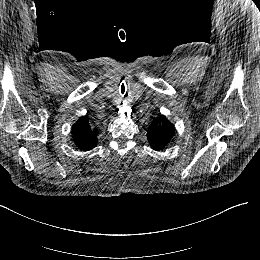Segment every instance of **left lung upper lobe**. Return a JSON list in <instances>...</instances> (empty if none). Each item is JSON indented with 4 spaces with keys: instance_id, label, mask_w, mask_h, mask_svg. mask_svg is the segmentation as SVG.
Instances as JSON below:
<instances>
[{
    "instance_id": "obj_1",
    "label": "left lung upper lobe",
    "mask_w": 260,
    "mask_h": 260,
    "mask_svg": "<svg viewBox=\"0 0 260 260\" xmlns=\"http://www.w3.org/2000/svg\"><path fill=\"white\" fill-rule=\"evenodd\" d=\"M175 133L174 125L163 115L155 118L147 131L150 146L157 151L163 150Z\"/></svg>"
}]
</instances>
